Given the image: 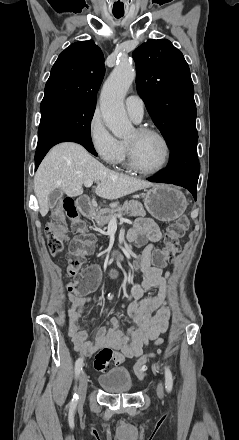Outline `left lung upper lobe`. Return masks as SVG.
I'll list each match as a JSON object with an SVG mask.
<instances>
[{
  "instance_id": "left-lung-upper-lobe-1",
  "label": "left lung upper lobe",
  "mask_w": 239,
  "mask_h": 440,
  "mask_svg": "<svg viewBox=\"0 0 239 440\" xmlns=\"http://www.w3.org/2000/svg\"><path fill=\"white\" fill-rule=\"evenodd\" d=\"M133 58L138 93L169 147L180 137L196 134L194 88L183 54L169 40L150 39Z\"/></svg>"
}]
</instances>
